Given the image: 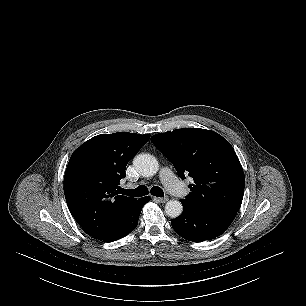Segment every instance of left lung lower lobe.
<instances>
[{
	"mask_svg": "<svg viewBox=\"0 0 306 306\" xmlns=\"http://www.w3.org/2000/svg\"><path fill=\"white\" fill-rule=\"evenodd\" d=\"M182 205V215L172 220L171 224L178 235L189 241L214 239L224 233L234 220L227 215L196 210L183 203Z\"/></svg>",
	"mask_w": 306,
	"mask_h": 306,
	"instance_id": "1",
	"label": "left lung lower lobe"
}]
</instances>
